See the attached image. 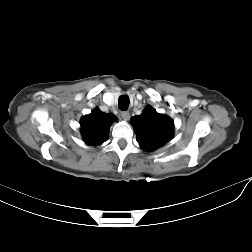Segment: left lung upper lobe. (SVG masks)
Masks as SVG:
<instances>
[{
    "label": "left lung upper lobe",
    "instance_id": "1",
    "mask_svg": "<svg viewBox=\"0 0 252 252\" xmlns=\"http://www.w3.org/2000/svg\"><path fill=\"white\" fill-rule=\"evenodd\" d=\"M131 124L137 142L146 151L158 149L173 137V120L150 106L141 115L131 117Z\"/></svg>",
    "mask_w": 252,
    "mask_h": 252
}]
</instances>
